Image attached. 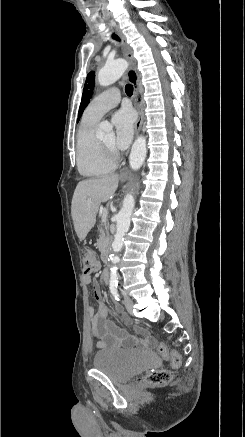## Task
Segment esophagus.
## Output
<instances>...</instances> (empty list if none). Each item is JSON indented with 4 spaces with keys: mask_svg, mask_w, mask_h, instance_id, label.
<instances>
[{
    "mask_svg": "<svg viewBox=\"0 0 245 437\" xmlns=\"http://www.w3.org/2000/svg\"><path fill=\"white\" fill-rule=\"evenodd\" d=\"M116 31H117V33L122 41L124 56L129 62V67H128V70L126 72V76H127L128 81L132 84V86L134 88V104H135V107L137 109V114H138V118L135 122V134L137 136L140 129H141L142 122H143V111H142L141 105L138 102V95L140 92V87H139V82H138V74H137V70H136V61L133 57L132 49L128 45L125 36L123 35L121 30L117 26H116Z\"/></svg>",
    "mask_w": 245,
    "mask_h": 437,
    "instance_id": "obj_1",
    "label": "esophagus"
}]
</instances>
